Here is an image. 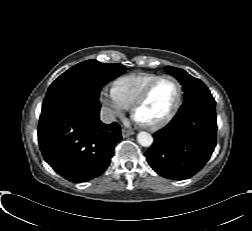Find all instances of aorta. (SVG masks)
I'll return each instance as SVG.
<instances>
[{
  "label": "aorta",
  "mask_w": 252,
  "mask_h": 231,
  "mask_svg": "<svg viewBox=\"0 0 252 231\" xmlns=\"http://www.w3.org/2000/svg\"><path fill=\"white\" fill-rule=\"evenodd\" d=\"M137 141L141 146L149 147L153 143V137L149 133L141 131L137 135Z\"/></svg>",
  "instance_id": "1"
}]
</instances>
